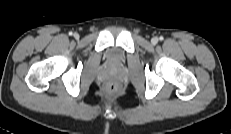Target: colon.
<instances>
[{
    "instance_id": "1",
    "label": "colon",
    "mask_w": 231,
    "mask_h": 134,
    "mask_svg": "<svg viewBox=\"0 0 231 134\" xmlns=\"http://www.w3.org/2000/svg\"><path fill=\"white\" fill-rule=\"evenodd\" d=\"M117 91H118V88L114 84L109 85L105 90V92L109 95L115 94Z\"/></svg>"
}]
</instances>
